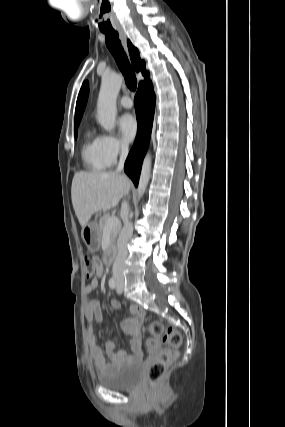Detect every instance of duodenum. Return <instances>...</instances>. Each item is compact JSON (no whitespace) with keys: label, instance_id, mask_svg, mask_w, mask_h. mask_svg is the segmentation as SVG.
<instances>
[{"label":"duodenum","instance_id":"duodenum-1","mask_svg":"<svg viewBox=\"0 0 285 427\" xmlns=\"http://www.w3.org/2000/svg\"><path fill=\"white\" fill-rule=\"evenodd\" d=\"M116 254V244L114 242L110 243L107 247L105 253V260L107 263H111L114 260Z\"/></svg>","mask_w":285,"mask_h":427}]
</instances>
